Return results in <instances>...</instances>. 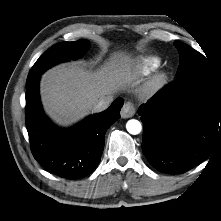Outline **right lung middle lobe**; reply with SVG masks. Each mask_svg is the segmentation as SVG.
<instances>
[{
	"label": "right lung middle lobe",
	"instance_id": "right-lung-middle-lobe-1",
	"mask_svg": "<svg viewBox=\"0 0 221 221\" xmlns=\"http://www.w3.org/2000/svg\"><path fill=\"white\" fill-rule=\"evenodd\" d=\"M89 44L86 40L75 42H62L46 51L33 65L27 78V82L33 81L48 68L55 64L71 59H77L87 50Z\"/></svg>",
	"mask_w": 221,
	"mask_h": 221
}]
</instances>
